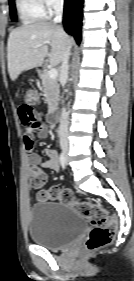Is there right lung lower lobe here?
Listing matches in <instances>:
<instances>
[{
  "instance_id": "obj_1",
  "label": "right lung lower lobe",
  "mask_w": 134,
  "mask_h": 281,
  "mask_svg": "<svg viewBox=\"0 0 134 281\" xmlns=\"http://www.w3.org/2000/svg\"><path fill=\"white\" fill-rule=\"evenodd\" d=\"M83 0H65L63 23L65 31L71 34L79 44L81 41Z\"/></svg>"
}]
</instances>
